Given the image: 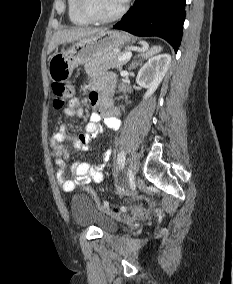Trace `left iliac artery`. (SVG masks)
<instances>
[{"mask_svg": "<svg viewBox=\"0 0 233 284\" xmlns=\"http://www.w3.org/2000/svg\"><path fill=\"white\" fill-rule=\"evenodd\" d=\"M125 160H126V154L124 151H122L118 154V164L121 168L124 167Z\"/></svg>", "mask_w": 233, "mask_h": 284, "instance_id": "44dca946", "label": "left iliac artery"}]
</instances>
